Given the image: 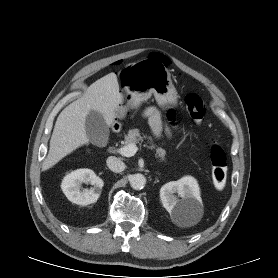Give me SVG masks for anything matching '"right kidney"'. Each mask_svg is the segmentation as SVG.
Wrapping results in <instances>:
<instances>
[{
  "mask_svg": "<svg viewBox=\"0 0 278 278\" xmlns=\"http://www.w3.org/2000/svg\"><path fill=\"white\" fill-rule=\"evenodd\" d=\"M82 183L93 185L89 190L81 191ZM104 182L90 169H78L66 175L62 181L61 189L69 201L78 205L95 203L101 194Z\"/></svg>",
  "mask_w": 278,
  "mask_h": 278,
  "instance_id": "ca27d5eb",
  "label": "right kidney"
}]
</instances>
